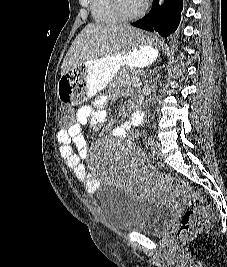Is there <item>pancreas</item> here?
Here are the masks:
<instances>
[{"label": "pancreas", "mask_w": 227, "mask_h": 267, "mask_svg": "<svg viewBox=\"0 0 227 267\" xmlns=\"http://www.w3.org/2000/svg\"><path fill=\"white\" fill-rule=\"evenodd\" d=\"M139 78L135 74H130L126 69L121 70L112 80L111 85H132L137 86Z\"/></svg>", "instance_id": "1"}]
</instances>
